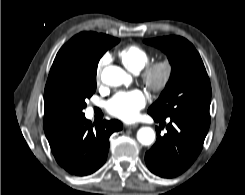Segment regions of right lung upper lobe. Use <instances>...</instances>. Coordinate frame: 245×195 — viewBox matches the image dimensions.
I'll list each match as a JSON object with an SVG mask.
<instances>
[{
    "label": "right lung upper lobe",
    "instance_id": "cb5924a9",
    "mask_svg": "<svg viewBox=\"0 0 245 195\" xmlns=\"http://www.w3.org/2000/svg\"><path fill=\"white\" fill-rule=\"evenodd\" d=\"M108 38L111 37L106 34L81 32L70 39L57 53L44 92V131L48 141L62 134L78 119L62 102L54 86L55 72L62 62L65 52L75 47H97Z\"/></svg>",
    "mask_w": 245,
    "mask_h": 195
}]
</instances>
